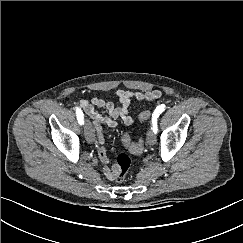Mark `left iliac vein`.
<instances>
[{
  "instance_id": "4c4485c4",
  "label": "left iliac vein",
  "mask_w": 243,
  "mask_h": 243,
  "mask_svg": "<svg viewBox=\"0 0 243 243\" xmlns=\"http://www.w3.org/2000/svg\"><path fill=\"white\" fill-rule=\"evenodd\" d=\"M146 140L149 145H154L156 143V134L152 127L147 132Z\"/></svg>"
}]
</instances>
